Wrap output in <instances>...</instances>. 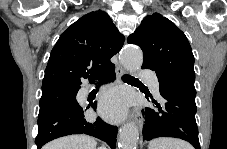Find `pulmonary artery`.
<instances>
[{
  "mask_svg": "<svg viewBox=\"0 0 227 149\" xmlns=\"http://www.w3.org/2000/svg\"><path fill=\"white\" fill-rule=\"evenodd\" d=\"M138 77L141 80H146L154 92H159V82L148 69H140L138 72Z\"/></svg>",
  "mask_w": 227,
  "mask_h": 149,
  "instance_id": "pulmonary-artery-1",
  "label": "pulmonary artery"
}]
</instances>
